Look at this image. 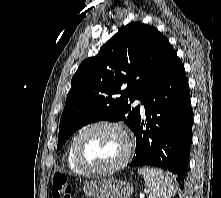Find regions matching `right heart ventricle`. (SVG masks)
<instances>
[{"mask_svg": "<svg viewBox=\"0 0 221 198\" xmlns=\"http://www.w3.org/2000/svg\"><path fill=\"white\" fill-rule=\"evenodd\" d=\"M75 137L70 141L66 149V164L67 167L74 173L81 174L84 173L75 163L73 158V143Z\"/></svg>", "mask_w": 221, "mask_h": 198, "instance_id": "right-heart-ventricle-1", "label": "right heart ventricle"}]
</instances>
